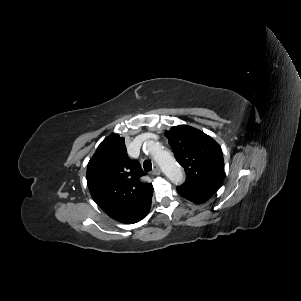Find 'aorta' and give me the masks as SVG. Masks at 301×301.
I'll return each mask as SVG.
<instances>
[{"label":"aorta","mask_w":301,"mask_h":301,"mask_svg":"<svg viewBox=\"0 0 301 301\" xmlns=\"http://www.w3.org/2000/svg\"><path fill=\"white\" fill-rule=\"evenodd\" d=\"M144 148L153 155L166 177L172 183L176 185L183 183L184 175L181 167L176 163L169 152L161 148L159 143L148 141L144 144Z\"/></svg>","instance_id":"762f6f07"}]
</instances>
